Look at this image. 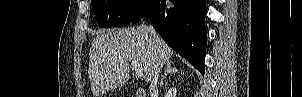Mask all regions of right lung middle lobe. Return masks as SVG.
I'll return each mask as SVG.
<instances>
[{
	"label": "right lung middle lobe",
	"instance_id": "right-lung-middle-lobe-1",
	"mask_svg": "<svg viewBox=\"0 0 302 97\" xmlns=\"http://www.w3.org/2000/svg\"><path fill=\"white\" fill-rule=\"evenodd\" d=\"M149 0H91L100 27L129 25Z\"/></svg>",
	"mask_w": 302,
	"mask_h": 97
}]
</instances>
